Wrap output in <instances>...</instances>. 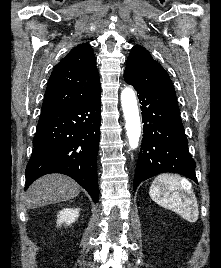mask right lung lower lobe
<instances>
[{
    "label": "right lung lower lobe",
    "mask_w": 221,
    "mask_h": 268,
    "mask_svg": "<svg viewBox=\"0 0 221 268\" xmlns=\"http://www.w3.org/2000/svg\"><path fill=\"white\" fill-rule=\"evenodd\" d=\"M100 113L101 93L69 107L41 112L26 167L25 190L43 175L62 173L76 180L95 203L98 201Z\"/></svg>",
    "instance_id": "1"
}]
</instances>
